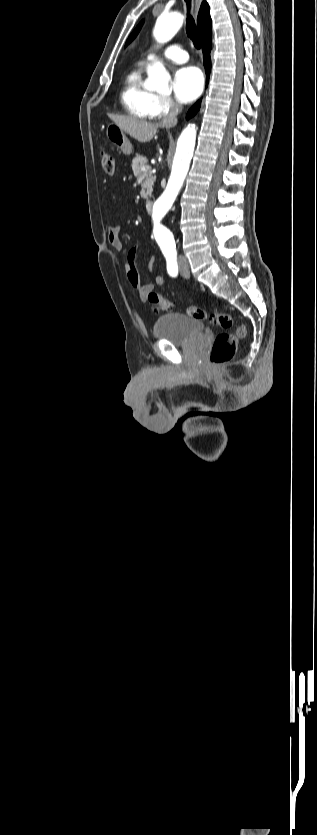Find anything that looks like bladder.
<instances>
[{"mask_svg": "<svg viewBox=\"0 0 317 835\" xmlns=\"http://www.w3.org/2000/svg\"><path fill=\"white\" fill-rule=\"evenodd\" d=\"M204 324L181 313H170L159 317L153 327L156 338L164 339L175 346L188 345L204 336Z\"/></svg>", "mask_w": 317, "mask_h": 835, "instance_id": "1", "label": "bladder"}]
</instances>
